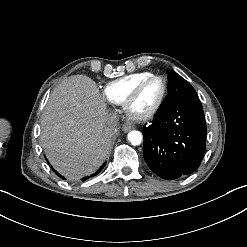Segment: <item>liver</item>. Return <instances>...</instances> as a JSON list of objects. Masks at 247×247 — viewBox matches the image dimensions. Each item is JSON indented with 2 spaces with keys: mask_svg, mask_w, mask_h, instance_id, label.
<instances>
[{
  "mask_svg": "<svg viewBox=\"0 0 247 247\" xmlns=\"http://www.w3.org/2000/svg\"><path fill=\"white\" fill-rule=\"evenodd\" d=\"M109 113L96 82L86 75L70 76L53 90L41 118L40 140L56 171L77 181L102 166L114 139Z\"/></svg>",
  "mask_w": 247,
  "mask_h": 247,
  "instance_id": "6515ba94",
  "label": "liver"
}]
</instances>
